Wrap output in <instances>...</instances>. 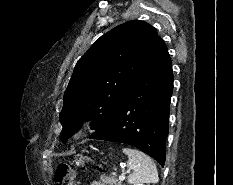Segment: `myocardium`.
<instances>
[{"label": "myocardium", "mask_w": 233, "mask_h": 185, "mask_svg": "<svg viewBox=\"0 0 233 185\" xmlns=\"http://www.w3.org/2000/svg\"><path fill=\"white\" fill-rule=\"evenodd\" d=\"M85 130H86V125L82 124V125L79 126V128L77 130V133L82 134V133H84Z\"/></svg>", "instance_id": "obj_1"}]
</instances>
